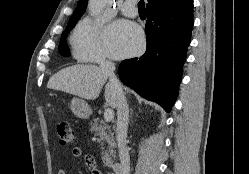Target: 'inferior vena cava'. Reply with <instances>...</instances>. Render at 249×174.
I'll list each match as a JSON object with an SVG mask.
<instances>
[{"label":"inferior vena cava","instance_id":"obj_1","mask_svg":"<svg viewBox=\"0 0 249 174\" xmlns=\"http://www.w3.org/2000/svg\"><path fill=\"white\" fill-rule=\"evenodd\" d=\"M100 68L109 77L110 83L114 86L117 94V142L119 149V157L121 163V174H130V159L126 146L127 128L129 121V110L122 86L114 74L115 64L108 60L100 62Z\"/></svg>","mask_w":249,"mask_h":174}]
</instances>
